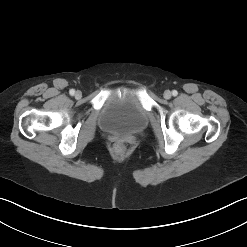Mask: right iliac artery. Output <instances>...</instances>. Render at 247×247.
Masks as SVG:
<instances>
[{"instance_id": "1", "label": "right iliac artery", "mask_w": 247, "mask_h": 247, "mask_svg": "<svg viewBox=\"0 0 247 247\" xmlns=\"http://www.w3.org/2000/svg\"><path fill=\"white\" fill-rule=\"evenodd\" d=\"M69 93H70V95H74L75 94V90L74 89H71L70 91H69Z\"/></svg>"}]
</instances>
